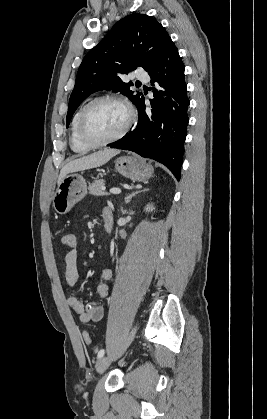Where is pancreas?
I'll return each instance as SVG.
<instances>
[{
  "label": "pancreas",
  "mask_w": 267,
  "mask_h": 419,
  "mask_svg": "<svg viewBox=\"0 0 267 419\" xmlns=\"http://www.w3.org/2000/svg\"><path fill=\"white\" fill-rule=\"evenodd\" d=\"M105 183L102 179H95L91 184L88 186L89 193L94 196H103L106 193L103 190Z\"/></svg>",
  "instance_id": "1"
}]
</instances>
